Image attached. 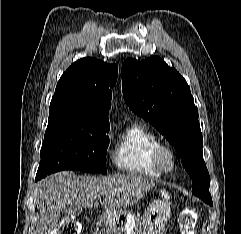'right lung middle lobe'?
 <instances>
[{
  "instance_id": "obj_1",
  "label": "right lung middle lobe",
  "mask_w": 241,
  "mask_h": 234,
  "mask_svg": "<svg viewBox=\"0 0 241 234\" xmlns=\"http://www.w3.org/2000/svg\"><path fill=\"white\" fill-rule=\"evenodd\" d=\"M49 117L37 178L65 169L107 173L109 125L79 122L76 115L68 111H49Z\"/></svg>"
}]
</instances>
